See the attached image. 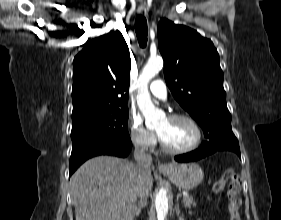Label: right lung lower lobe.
Instances as JSON below:
<instances>
[{
    "mask_svg": "<svg viewBox=\"0 0 281 220\" xmlns=\"http://www.w3.org/2000/svg\"><path fill=\"white\" fill-rule=\"evenodd\" d=\"M131 147V141H112L106 143H87L72 148L69 175L71 176L75 170L89 158L98 155L126 157L129 154Z\"/></svg>",
    "mask_w": 281,
    "mask_h": 220,
    "instance_id": "right-lung-lower-lobe-1",
    "label": "right lung lower lobe"
}]
</instances>
